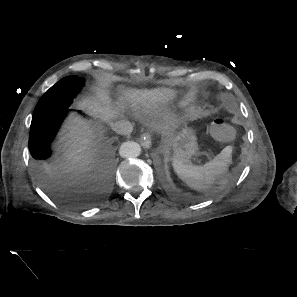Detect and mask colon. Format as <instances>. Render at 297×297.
I'll use <instances>...</instances> for the list:
<instances>
[{"instance_id": "colon-1", "label": "colon", "mask_w": 297, "mask_h": 297, "mask_svg": "<svg viewBox=\"0 0 297 297\" xmlns=\"http://www.w3.org/2000/svg\"><path fill=\"white\" fill-rule=\"evenodd\" d=\"M212 134L220 140H228L231 138L232 127L224 120H217L212 125Z\"/></svg>"}]
</instances>
